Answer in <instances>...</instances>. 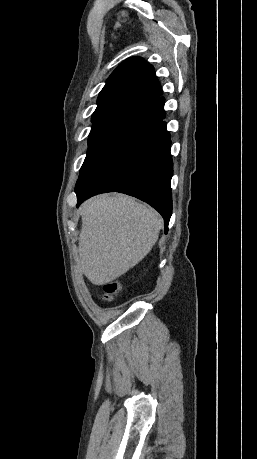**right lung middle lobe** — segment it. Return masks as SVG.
<instances>
[{
  "mask_svg": "<svg viewBox=\"0 0 257 459\" xmlns=\"http://www.w3.org/2000/svg\"><path fill=\"white\" fill-rule=\"evenodd\" d=\"M133 114L132 111L122 109L93 113V125L88 140L89 148L81 170L106 148L120 126Z\"/></svg>",
  "mask_w": 257,
  "mask_h": 459,
  "instance_id": "obj_1",
  "label": "right lung middle lobe"
}]
</instances>
